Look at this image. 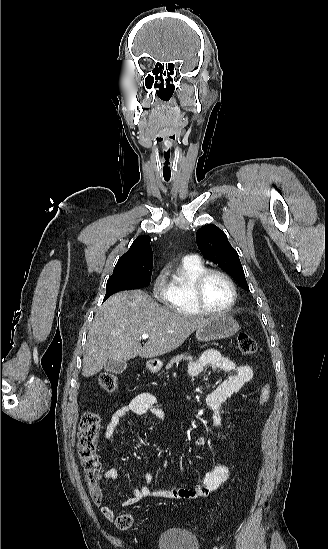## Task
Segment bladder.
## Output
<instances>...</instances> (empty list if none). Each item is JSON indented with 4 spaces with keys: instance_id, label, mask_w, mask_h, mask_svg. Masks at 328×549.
Returning a JSON list of instances; mask_svg holds the SVG:
<instances>
[{
    "instance_id": "1",
    "label": "bladder",
    "mask_w": 328,
    "mask_h": 549,
    "mask_svg": "<svg viewBox=\"0 0 328 549\" xmlns=\"http://www.w3.org/2000/svg\"><path fill=\"white\" fill-rule=\"evenodd\" d=\"M197 536H187L184 531L173 528L159 536L158 549H198Z\"/></svg>"
}]
</instances>
